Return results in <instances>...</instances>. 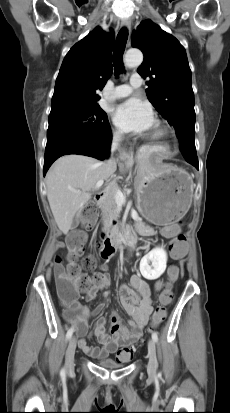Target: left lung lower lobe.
<instances>
[{"label":"left lung lower lobe","instance_id":"1","mask_svg":"<svg viewBox=\"0 0 230 413\" xmlns=\"http://www.w3.org/2000/svg\"><path fill=\"white\" fill-rule=\"evenodd\" d=\"M180 141L182 143V145L188 147L190 145V143L195 144V141L190 140L188 136H180ZM183 157L185 158V160L190 163L191 165H193L196 169L199 170V163H198V158H197V154L196 152H192L191 150H186V151H181Z\"/></svg>","mask_w":230,"mask_h":413}]
</instances>
